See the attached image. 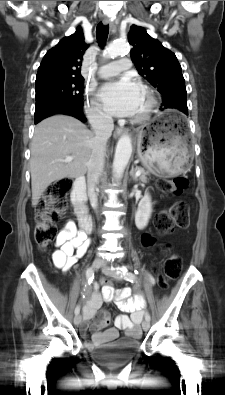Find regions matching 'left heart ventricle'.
<instances>
[{
	"label": "left heart ventricle",
	"instance_id": "obj_1",
	"mask_svg": "<svg viewBox=\"0 0 225 395\" xmlns=\"http://www.w3.org/2000/svg\"><path fill=\"white\" fill-rule=\"evenodd\" d=\"M146 106V96L144 94V92H141V98H140V102L137 108V111L135 113V116L141 114L143 112V110L145 109Z\"/></svg>",
	"mask_w": 225,
	"mask_h": 395
}]
</instances>
